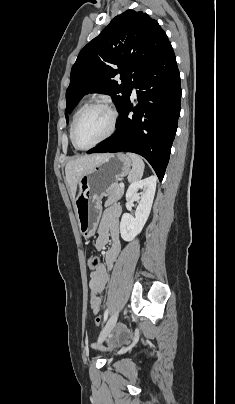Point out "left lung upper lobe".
I'll list each match as a JSON object with an SVG mask.
<instances>
[{
  "instance_id": "left-lung-upper-lobe-1",
  "label": "left lung upper lobe",
  "mask_w": 235,
  "mask_h": 404,
  "mask_svg": "<svg viewBox=\"0 0 235 404\" xmlns=\"http://www.w3.org/2000/svg\"><path fill=\"white\" fill-rule=\"evenodd\" d=\"M158 22L142 11L127 10L79 53L66 92V118L87 93L110 95L118 109L128 100L144 69L169 44ZM121 75V84L114 77Z\"/></svg>"
}]
</instances>
